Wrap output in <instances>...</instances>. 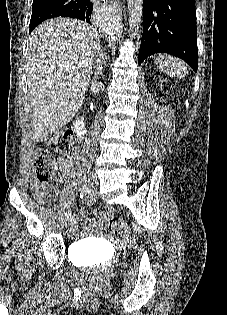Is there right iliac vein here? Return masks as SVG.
Here are the masks:
<instances>
[{"instance_id":"63e3f726","label":"right iliac vein","mask_w":227,"mask_h":315,"mask_svg":"<svg viewBox=\"0 0 227 315\" xmlns=\"http://www.w3.org/2000/svg\"><path fill=\"white\" fill-rule=\"evenodd\" d=\"M87 184L89 187L94 188L98 184V178L95 174H90L87 180ZM74 222V217L70 216L66 219L65 225L70 226Z\"/></svg>"}]
</instances>
